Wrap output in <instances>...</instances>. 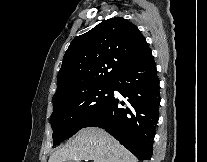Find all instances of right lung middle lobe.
Masks as SVG:
<instances>
[{"label":"right lung middle lobe","instance_id":"obj_1","mask_svg":"<svg viewBox=\"0 0 207 162\" xmlns=\"http://www.w3.org/2000/svg\"><path fill=\"white\" fill-rule=\"evenodd\" d=\"M113 95V85H102L53 99V144L73 136L103 108Z\"/></svg>","mask_w":207,"mask_h":162}]
</instances>
